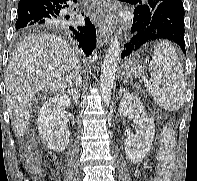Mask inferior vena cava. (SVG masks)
<instances>
[{
  "mask_svg": "<svg viewBox=\"0 0 197 181\" xmlns=\"http://www.w3.org/2000/svg\"><path fill=\"white\" fill-rule=\"evenodd\" d=\"M75 84H76V88H77V86H78V87L80 86V84H81V77H80V75L76 78ZM76 93H77V95H78V97H79V96H80L79 90H76Z\"/></svg>",
  "mask_w": 197,
  "mask_h": 181,
  "instance_id": "inferior-vena-cava-1",
  "label": "inferior vena cava"
}]
</instances>
